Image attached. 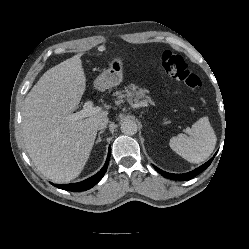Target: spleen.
Listing matches in <instances>:
<instances>
[{
  "label": "spleen",
  "mask_w": 249,
  "mask_h": 249,
  "mask_svg": "<svg viewBox=\"0 0 249 249\" xmlns=\"http://www.w3.org/2000/svg\"><path fill=\"white\" fill-rule=\"evenodd\" d=\"M217 142L216 134L208 117L196 121L190 135L178 134L170 139V148L191 163L205 161L213 152Z\"/></svg>",
  "instance_id": "obj_1"
}]
</instances>
